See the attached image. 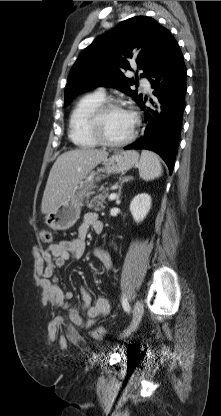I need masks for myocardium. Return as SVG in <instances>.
I'll use <instances>...</instances> for the list:
<instances>
[{"mask_svg":"<svg viewBox=\"0 0 221 416\" xmlns=\"http://www.w3.org/2000/svg\"><path fill=\"white\" fill-rule=\"evenodd\" d=\"M112 108L124 109L130 112V114L133 117V125H132L131 132L125 139L121 141L109 140L103 132V128H102L103 116L109 109H112ZM139 124H140V119L135 111L126 107L119 100L108 99V100H104L101 104H99L94 109V111L92 112L90 116L88 127H89L90 133L98 141L99 144L107 146V147L118 148V147H123L129 144L135 138L137 131H138Z\"/></svg>","mask_w":221,"mask_h":416,"instance_id":"obj_1","label":"myocardium"}]
</instances>
